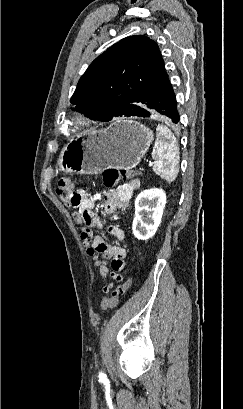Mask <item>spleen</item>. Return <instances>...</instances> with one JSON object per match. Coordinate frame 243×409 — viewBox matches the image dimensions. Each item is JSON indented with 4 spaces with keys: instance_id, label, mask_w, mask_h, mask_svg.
<instances>
[{
    "instance_id": "spleen-1",
    "label": "spleen",
    "mask_w": 243,
    "mask_h": 409,
    "mask_svg": "<svg viewBox=\"0 0 243 409\" xmlns=\"http://www.w3.org/2000/svg\"><path fill=\"white\" fill-rule=\"evenodd\" d=\"M152 157L156 160L153 171L166 181L172 182L179 171V147L174 134L162 124L156 128Z\"/></svg>"
}]
</instances>
